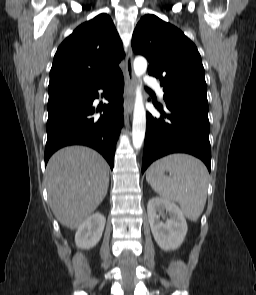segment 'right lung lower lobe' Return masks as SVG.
Listing matches in <instances>:
<instances>
[{"instance_id":"right-lung-lower-lobe-1","label":"right lung lower lobe","mask_w":256,"mask_h":295,"mask_svg":"<svg viewBox=\"0 0 256 295\" xmlns=\"http://www.w3.org/2000/svg\"><path fill=\"white\" fill-rule=\"evenodd\" d=\"M99 89L105 91L109 104L101 108L104 114L95 118L100 108L92 105ZM123 90V74L119 72L93 85L49 95L45 164L58 149L80 144L100 152L113 169L123 126Z\"/></svg>"}]
</instances>
